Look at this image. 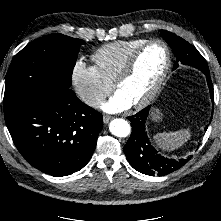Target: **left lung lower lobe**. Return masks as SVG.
<instances>
[{
    "label": "left lung lower lobe",
    "instance_id": "0a47b994",
    "mask_svg": "<svg viewBox=\"0 0 221 221\" xmlns=\"http://www.w3.org/2000/svg\"><path fill=\"white\" fill-rule=\"evenodd\" d=\"M204 74L207 78L211 100L214 101L210 73L206 72ZM149 109L150 106L128 117L132 125V132L129 140L124 146V153L130 165L137 171L150 176H164L185 165L187 161L190 160L191 156L187 159L174 160L161 156L155 150L145 130ZM206 129L207 127L205 130Z\"/></svg>",
    "mask_w": 221,
    "mask_h": 221
}]
</instances>
